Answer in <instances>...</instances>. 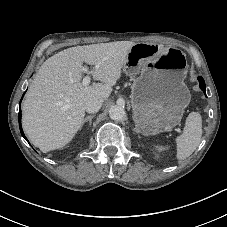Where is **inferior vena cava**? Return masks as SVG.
Returning <instances> with one entry per match:
<instances>
[{"label":"inferior vena cava","mask_w":227,"mask_h":227,"mask_svg":"<svg viewBox=\"0 0 227 227\" xmlns=\"http://www.w3.org/2000/svg\"><path fill=\"white\" fill-rule=\"evenodd\" d=\"M104 100L101 98H91L85 103V111L88 113H96L102 107Z\"/></svg>","instance_id":"obj_1"}]
</instances>
